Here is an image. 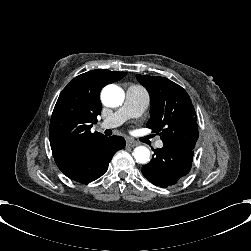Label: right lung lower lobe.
<instances>
[{
	"label": "right lung lower lobe",
	"mask_w": 251,
	"mask_h": 251,
	"mask_svg": "<svg viewBox=\"0 0 251 251\" xmlns=\"http://www.w3.org/2000/svg\"><path fill=\"white\" fill-rule=\"evenodd\" d=\"M124 147L125 139L123 137L104 136L94 142L83 158L61 171L74 181L90 183L107 171L113 155Z\"/></svg>",
	"instance_id": "1"
}]
</instances>
